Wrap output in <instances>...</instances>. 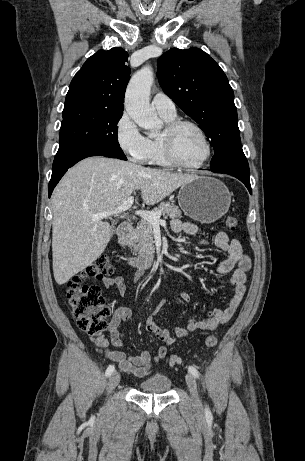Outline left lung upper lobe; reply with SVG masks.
I'll return each mask as SVG.
<instances>
[{
	"label": "left lung upper lobe",
	"mask_w": 305,
	"mask_h": 461,
	"mask_svg": "<svg viewBox=\"0 0 305 461\" xmlns=\"http://www.w3.org/2000/svg\"><path fill=\"white\" fill-rule=\"evenodd\" d=\"M157 73L164 93L209 137L215 153L210 170L249 173L234 93L219 65L201 49L173 48L158 59Z\"/></svg>",
	"instance_id": "left-lung-upper-lobe-1"
}]
</instances>
